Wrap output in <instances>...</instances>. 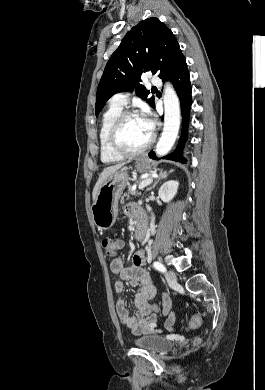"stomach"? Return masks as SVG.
Masks as SVG:
<instances>
[{
    "label": "stomach",
    "instance_id": "1",
    "mask_svg": "<svg viewBox=\"0 0 265 390\" xmlns=\"http://www.w3.org/2000/svg\"><path fill=\"white\" fill-rule=\"evenodd\" d=\"M154 165L147 158L136 161V170L140 173L148 172ZM129 181L126 170L115 172L101 185L97 198L92 207L93 221L101 230H108L113 226L118 215V201Z\"/></svg>",
    "mask_w": 265,
    "mask_h": 390
}]
</instances>
